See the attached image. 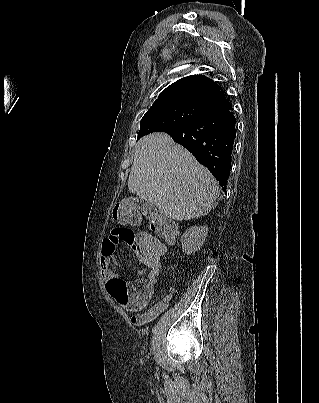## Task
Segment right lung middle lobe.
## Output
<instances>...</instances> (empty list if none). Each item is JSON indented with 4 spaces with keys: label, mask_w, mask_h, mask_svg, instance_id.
<instances>
[{
    "label": "right lung middle lobe",
    "mask_w": 319,
    "mask_h": 403,
    "mask_svg": "<svg viewBox=\"0 0 319 403\" xmlns=\"http://www.w3.org/2000/svg\"><path fill=\"white\" fill-rule=\"evenodd\" d=\"M208 114H211L208 108L189 102L153 104L141 119L138 139L166 127L185 125Z\"/></svg>",
    "instance_id": "1"
}]
</instances>
